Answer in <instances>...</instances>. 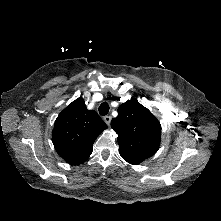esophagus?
Wrapping results in <instances>:
<instances>
[{
	"label": "esophagus",
	"mask_w": 221,
	"mask_h": 221,
	"mask_svg": "<svg viewBox=\"0 0 221 221\" xmlns=\"http://www.w3.org/2000/svg\"><path fill=\"white\" fill-rule=\"evenodd\" d=\"M103 120L105 121L107 125H110L112 117L110 115H106L104 116Z\"/></svg>",
	"instance_id": "obj_1"
}]
</instances>
